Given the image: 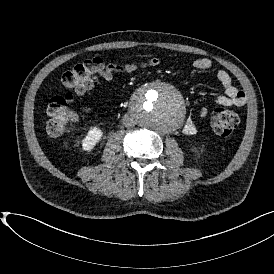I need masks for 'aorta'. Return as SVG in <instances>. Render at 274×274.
Segmentation results:
<instances>
[{"label":"aorta","instance_id":"762f6f07","mask_svg":"<svg viewBox=\"0 0 274 274\" xmlns=\"http://www.w3.org/2000/svg\"><path fill=\"white\" fill-rule=\"evenodd\" d=\"M130 111L136 124L159 133L178 129L186 114L181 94L160 81L141 88L131 100Z\"/></svg>","mask_w":274,"mask_h":274}]
</instances>
